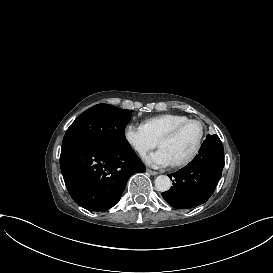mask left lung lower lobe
I'll list each match as a JSON object with an SVG mask.
<instances>
[{
  "label": "left lung lower lobe",
  "instance_id": "1",
  "mask_svg": "<svg viewBox=\"0 0 273 273\" xmlns=\"http://www.w3.org/2000/svg\"><path fill=\"white\" fill-rule=\"evenodd\" d=\"M224 167V148L217 135L207 134L199 154L187 166L168 175L173 186L162 193L174 208H194L205 203L215 191Z\"/></svg>",
  "mask_w": 273,
  "mask_h": 273
}]
</instances>
